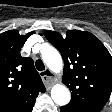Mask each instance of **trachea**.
<instances>
[{"mask_svg":"<svg viewBox=\"0 0 112 112\" xmlns=\"http://www.w3.org/2000/svg\"><path fill=\"white\" fill-rule=\"evenodd\" d=\"M35 66H36V69L38 71H43L45 70V66L43 64V62L41 60H37L36 63H35ZM47 75V74H46Z\"/></svg>","mask_w":112,"mask_h":112,"instance_id":"obj_1","label":"trachea"}]
</instances>
